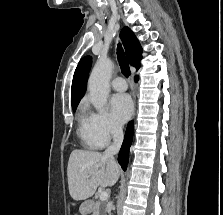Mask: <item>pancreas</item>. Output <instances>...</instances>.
Returning <instances> with one entry per match:
<instances>
[{"label": "pancreas", "instance_id": "pancreas-1", "mask_svg": "<svg viewBox=\"0 0 223 215\" xmlns=\"http://www.w3.org/2000/svg\"><path fill=\"white\" fill-rule=\"evenodd\" d=\"M95 204L97 205L94 209H96V212H93L92 215H100V209L102 207V201H95Z\"/></svg>", "mask_w": 223, "mask_h": 215}]
</instances>
